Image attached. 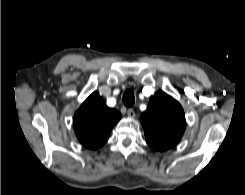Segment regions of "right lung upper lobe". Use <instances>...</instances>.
I'll list each match as a JSON object with an SVG mask.
<instances>
[{"instance_id":"right-lung-upper-lobe-1","label":"right lung upper lobe","mask_w":245,"mask_h":195,"mask_svg":"<svg viewBox=\"0 0 245 195\" xmlns=\"http://www.w3.org/2000/svg\"><path fill=\"white\" fill-rule=\"evenodd\" d=\"M120 118L117 110L108 108L98 92H93L76 111L74 130L83 146L95 150L108 140Z\"/></svg>"}]
</instances>
